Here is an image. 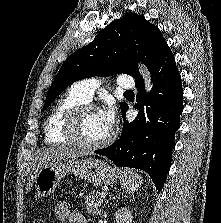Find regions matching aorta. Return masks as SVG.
<instances>
[{"label":"aorta","instance_id":"762f6f07","mask_svg":"<svg viewBox=\"0 0 221 223\" xmlns=\"http://www.w3.org/2000/svg\"><path fill=\"white\" fill-rule=\"evenodd\" d=\"M140 72L144 78L145 81V87L147 92L150 91L152 89V83H151V78H150V74L148 72V70L144 67V66H140Z\"/></svg>","mask_w":221,"mask_h":223}]
</instances>
